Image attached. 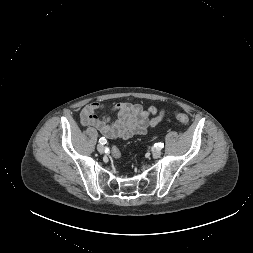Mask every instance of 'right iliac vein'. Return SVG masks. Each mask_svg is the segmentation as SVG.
<instances>
[{
	"instance_id": "obj_1",
	"label": "right iliac vein",
	"mask_w": 253,
	"mask_h": 253,
	"mask_svg": "<svg viewBox=\"0 0 253 253\" xmlns=\"http://www.w3.org/2000/svg\"><path fill=\"white\" fill-rule=\"evenodd\" d=\"M97 150H98V152L103 153L104 150H105V148H104V146L102 144H98L97 145Z\"/></svg>"
}]
</instances>
